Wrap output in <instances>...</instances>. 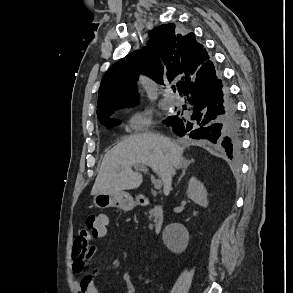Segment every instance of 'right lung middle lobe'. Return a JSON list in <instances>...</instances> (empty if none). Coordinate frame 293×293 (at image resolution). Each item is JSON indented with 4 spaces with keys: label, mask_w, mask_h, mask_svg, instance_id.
<instances>
[{
    "label": "right lung middle lobe",
    "mask_w": 293,
    "mask_h": 293,
    "mask_svg": "<svg viewBox=\"0 0 293 293\" xmlns=\"http://www.w3.org/2000/svg\"><path fill=\"white\" fill-rule=\"evenodd\" d=\"M113 112H109L103 116L98 117L99 121L101 124L107 126V127H114L119 125L121 122L115 119L110 118L109 116L112 114Z\"/></svg>",
    "instance_id": "obj_1"
}]
</instances>
